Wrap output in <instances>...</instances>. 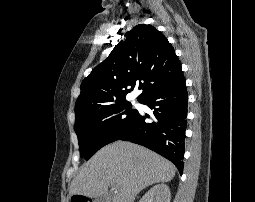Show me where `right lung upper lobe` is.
Masks as SVG:
<instances>
[{
  "label": "right lung upper lobe",
  "mask_w": 255,
  "mask_h": 202,
  "mask_svg": "<svg viewBox=\"0 0 255 202\" xmlns=\"http://www.w3.org/2000/svg\"><path fill=\"white\" fill-rule=\"evenodd\" d=\"M125 36L127 39L82 81L75 104L76 120L99 108L126 102V94L137 83L142 90L140 102L184 78L174 48L155 27L139 24Z\"/></svg>",
  "instance_id": "right-lung-upper-lobe-1"
}]
</instances>
